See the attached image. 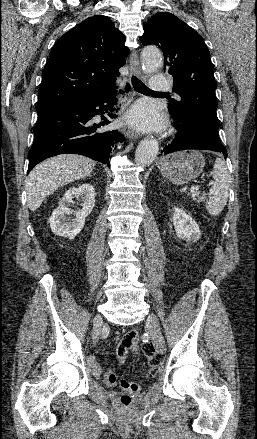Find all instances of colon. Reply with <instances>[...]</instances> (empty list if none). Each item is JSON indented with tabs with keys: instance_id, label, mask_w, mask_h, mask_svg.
<instances>
[{
	"instance_id": "obj_1",
	"label": "colon",
	"mask_w": 257,
	"mask_h": 439,
	"mask_svg": "<svg viewBox=\"0 0 257 439\" xmlns=\"http://www.w3.org/2000/svg\"><path fill=\"white\" fill-rule=\"evenodd\" d=\"M139 348V335L136 330L127 331L120 339L117 348L116 356L120 363H123L127 356L134 353ZM141 353L148 359L151 367L150 374L154 375L157 368L161 364V359L157 354L155 347L150 343H145L140 348ZM90 367L93 372L99 376L102 381L107 385H113L116 382V376L111 371L102 370L94 359L90 360ZM125 393L121 394L120 402L124 406H129L132 402L131 393L138 390V385L135 382H125L123 384Z\"/></svg>"
}]
</instances>
